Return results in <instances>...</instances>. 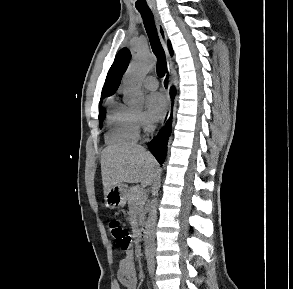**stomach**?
Listing matches in <instances>:
<instances>
[{
    "mask_svg": "<svg viewBox=\"0 0 293 289\" xmlns=\"http://www.w3.org/2000/svg\"><path fill=\"white\" fill-rule=\"evenodd\" d=\"M128 194L126 184L120 183L113 186L104 194L105 206L111 209H119L125 206Z\"/></svg>",
    "mask_w": 293,
    "mask_h": 289,
    "instance_id": "0dacf381",
    "label": "stomach"
}]
</instances>
